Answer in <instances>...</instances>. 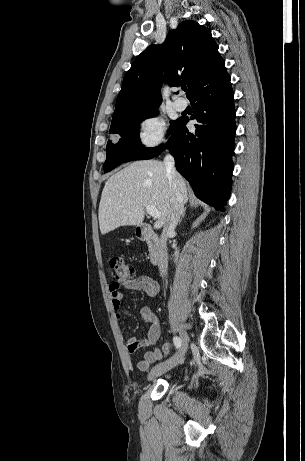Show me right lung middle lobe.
<instances>
[{
	"label": "right lung middle lobe",
	"instance_id": "right-lung-middle-lobe-1",
	"mask_svg": "<svg viewBox=\"0 0 305 461\" xmlns=\"http://www.w3.org/2000/svg\"><path fill=\"white\" fill-rule=\"evenodd\" d=\"M158 112L151 110L145 113L128 117L124 120L113 125L110 129V133H117L120 135V139L116 144L112 141H108L106 146L107 158L104 163V172H109L119 164L134 161L150 159L153 155L160 151L163 145L154 148H146L140 143L139 138V124L150 117H153ZM178 120L170 121L169 133L173 131Z\"/></svg>",
	"mask_w": 305,
	"mask_h": 461
}]
</instances>
